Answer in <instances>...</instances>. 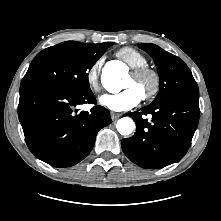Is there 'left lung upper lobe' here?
<instances>
[{
    "label": "left lung upper lobe",
    "instance_id": "5c2ea615",
    "mask_svg": "<svg viewBox=\"0 0 221 221\" xmlns=\"http://www.w3.org/2000/svg\"><path fill=\"white\" fill-rule=\"evenodd\" d=\"M140 48L154 59L160 78L159 93L151 105L180 96L199 98L198 85L179 57L151 43H143Z\"/></svg>",
    "mask_w": 221,
    "mask_h": 221
}]
</instances>
